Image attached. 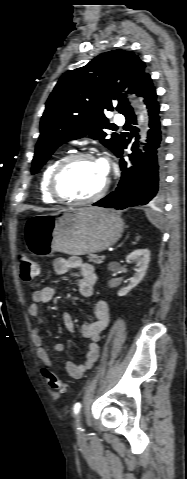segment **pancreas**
Instances as JSON below:
<instances>
[{
    "instance_id": "1",
    "label": "pancreas",
    "mask_w": 187,
    "mask_h": 479,
    "mask_svg": "<svg viewBox=\"0 0 187 479\" xmlns=\"http://www.w3.org/2000/svg\"><path fill=\"white\" fill-rule=\"evenodd\" d=\"M89 260L93 262L94 264H101L103 262V259L101 256L98 255H90Z\"/></svg>"
}]
</instances>
